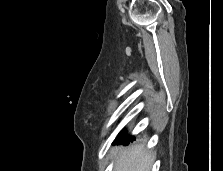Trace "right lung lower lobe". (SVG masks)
Segmentation results:
<instances>
[{
  "instance_id": "obj_1",
  "label": "right lung lower lobe",
  "mask_w": 223,
  "mask_h": 171,
  "mask_svg": "<svg viewBox=\"0 0 223 171\" xmlns=\"http://www.w3.org/2000/svg\"><path fill=\"white\" fill-rule=\"evenodd\" d=\"M135 139L134 136H127V133L125 130H122L119 134L118 137L116 138V142H127L129 143V141H133Z\"/></svg>"
}]
</instances>
